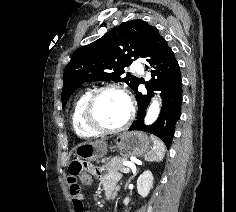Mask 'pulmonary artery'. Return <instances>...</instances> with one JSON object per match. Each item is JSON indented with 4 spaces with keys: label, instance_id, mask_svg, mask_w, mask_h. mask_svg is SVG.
Segmentation results:
<instances>
[{
    "label": "pulmonary artery",
    "instance_id": "e3ab8cb5",
    "mask_svg": "<svg viewBox=\"0 0 236 212\" xmlns=\"http://www.w3.org/2000/svg\"><path fill=\"white\" fill-rule=\"evenodd\" d=\"M132 69L138 73H143V67L139 62H134L132 64Z\"/></svg>",
    "mask_w": 236,
    "mask_h": 212
}]
</instances>
